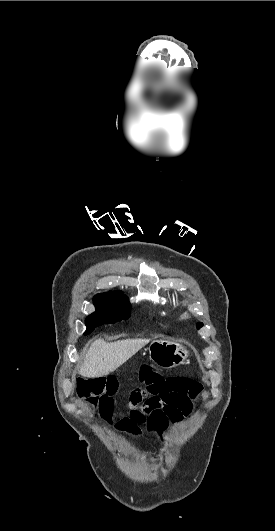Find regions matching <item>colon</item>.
Wrapping results in <instances>:
<instances>
[{
    "instance_id": "colon-1",
    "label": "colon",
    "mask_w": 275,
    "mask_h": 531,
    "mask_svg": "<svg viewBox=\"0 0 275 531\" xmlns=\"http://www.w3.org/2000/svg\"><path fill=\"white\" fill-rule=\"evenodd\" d=\"M105 387V380L100 375H93L89 379L81 378L76 383V397L81 402H88L94 406L99 407L98 399L102 396V391Z\"/></svg>"
}]
</instances>
